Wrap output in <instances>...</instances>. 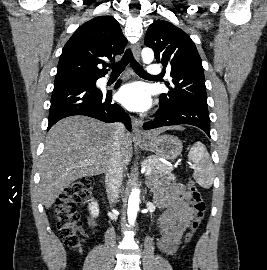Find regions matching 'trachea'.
<instances>
[{"instance_id": "3493384b", "label": "trachea", "mask_w": 267, "mask_h": 270, "mask_svg": "<svg viewBox=\"0 0 267 270\" xmlns=\"http://www.w3.org/2000/svg\"><path fill=\"white\" fill-rule=\"evenodd\" d=\"M128 63H130V65L138 75L150 76L133 58L132 52L129 49L125 52L124 56L120 61L109 64V67L112 69V73H121Z\"/></svg>"}]
</instances>
